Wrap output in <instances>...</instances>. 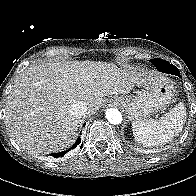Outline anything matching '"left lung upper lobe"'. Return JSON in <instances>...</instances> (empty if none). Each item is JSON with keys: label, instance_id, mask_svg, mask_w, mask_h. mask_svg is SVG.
I'll return each instance as SVG.
<instances>
[{"label": "left lung upper lobe", "instance_id": "1", "mask_svg": "<svg viewBox=\"0 0 196 196\" xmlns=\"http://www.w3.org/2000/svg\"><path fill=\"white\" fill-rule=\"evenodd\" d=\"M150 62L153 63L157 70L160 72L170 73L174 75L179 74V70L174 65L169 64V62H167L166 60L157 58L150 60Z\"/></svg>", "mask_w": 196, "mask_h": 196}]
</instances>
